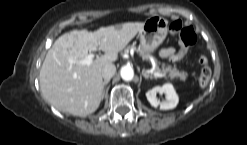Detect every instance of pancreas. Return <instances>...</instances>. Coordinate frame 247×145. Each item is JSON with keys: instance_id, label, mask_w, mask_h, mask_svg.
I'll list each match as a JSON object with an SVG mask.
<instances>
[{"instance_id": "pancreas-1", "label": "pancreas", "mask_w": 247, "mask_h": 145, "mask_svg": "<svg viewBox=\"0 0 247 145\" xmlns=\"http://www.w3.org/2000/svg\"><path fill=\"white\" fill-rule=\"evenodd\" d=\"M155 71L164 74V76L170 77V79L179 78L185 80L188 75L185 71H179L176 67H171L170 65L166 66L165 64H162L161 69L156 65Z\"/></svg>"}]
</instances>
